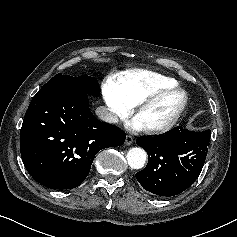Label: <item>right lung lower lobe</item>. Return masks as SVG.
<instances>
[{"mask_svg":"<svg viewBox=\"0 0 237 237\" xmlns=\"http://www.w3.org/2000/svg\"><path fill=\"white\" fill-rule=\"evenodd\" d=\"M88 94L70 85L43 86L24 116L21 157L30 175L52 189L79 186L101 149L120 146L125 132L99 121Z\"/></svg>","mask_w":237,"mask_h":237,"instance_id":"1","label":"right lung lower lobe"}]
</instances>
